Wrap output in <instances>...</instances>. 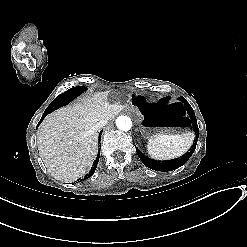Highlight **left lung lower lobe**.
Wrapping results in <instances>:
<instances>
[{
    "label": "left lung lower lobe",
    "mask_w": 247,
    "mask_h": 247,
    "mask_svg": "<svg viewBox=\"0 0 247 247\" xmlns=\"http://www.w3.org/2000/svg\"><path fill=\"white\" fill-rule=\"evenodd\" d=\"M183 102H184V105H185V107L189 113V116H190V119H191V122L193 125V129H194V132L196 134V140H195L194 146L192 147L190 152H188L182 158L176 159V160H171V161H155V160L149 159L144 154H142L138 149H136L140 160L142 161V163L146 167H148L152 170H156V171H163V172L172 171V170H175V169L181 167L182 165H184L188 161V159L191 157V155L194 153L195 148H196V144H197V140H198L199 129H198V125H197L196 116L194 114L192 107L190 106V104L187 101H183Z\"/></svg>",
    "instance_id": "left-lung-lower-lobe-1"
}]
</instances>
